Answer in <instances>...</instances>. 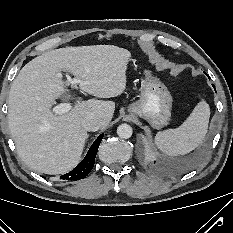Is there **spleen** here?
Segmentation results:
<instances>
[{"label": "spleen", "mask_w": 233, "mask_h": 233, "mask_svg": "<svg viewBox=\"0 0 233 233\" xmlns=\"http://www.w3.org/2000/svg\"><path fill=\"white\" fill-rule=\"evenodd\" d=\"M209 117V105L202 100L178 128L156 134L157 147L167 155L176 156L189 153L203 141L207 133Z\"/></svg>", "instance_id": "spleen-1"}]
</instances>
